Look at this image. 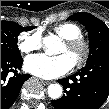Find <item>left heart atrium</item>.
I'll list each match as a JSON object with an SVG mask.
<instances>
[{"label": "left heart atrium", "mask_w": 109, "mask_h": 109, "mask_svg": "<svg viewBox=\"0 0 109 109\" xmlns=\"http://www.w3.org/2000/svg\"><path fill=\"white\" fill-rule=\"evenodd\" d=\"M74 63L66 54L50 56L47 54L31 55L25 59L27 72L44 79H54L71 71Z\"/></svg>", "instance_id": "obj_1"}]
</instances>
